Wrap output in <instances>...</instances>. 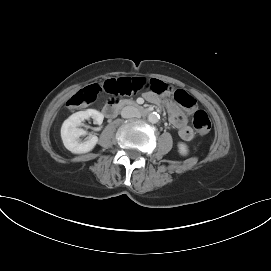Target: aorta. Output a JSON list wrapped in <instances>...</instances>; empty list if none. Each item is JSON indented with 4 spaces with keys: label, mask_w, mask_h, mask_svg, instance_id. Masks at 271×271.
Listing matches in <instances>:
<instances>
[{
    "label": "aorta",
    "mask_w": 271,
    "mask_h": 271,
    "mask_svg": "<svg viewBox=\"0 0 271 271\" xmlns=\"http://www.w3.org/2000/svg\"><path fill=\"white\" fill-rule=\"evenodd\" d=\"M159 119H160V116H159V114L156 113V112H152V113H150V114L148 115V121H149L150 123H152V124L157 123V122L159 121Z\"/></svg>",
    "instance_id": "obj_1"
}]
</instances>
